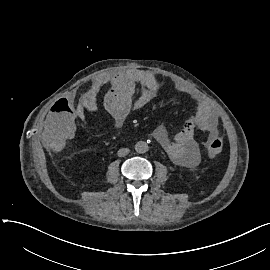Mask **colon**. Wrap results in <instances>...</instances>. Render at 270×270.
I'll return each mask as SVG.
<instances>
[{"label": "colon", "mask_w": 270, "mask_h": 270, "mask_svg": "<svg viewBox=\"0 0 270 270\" xmlns=\"http://www.w3.org/2000/svg\"><path fill=\"white\" fill-rule=\"evenodd\" d=\"M207 152L211 156L219 154L223 148V141L220 137H211L205 144Z\"/></svg>", "instance_id": "1"}]
</instances>
